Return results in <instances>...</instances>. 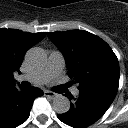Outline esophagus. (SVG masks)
<instances>
[{
	"mask_svg": "<svg viewBox=\"0 0 128 128\" xmlns=\"http://www.w3.org/2000/svg\"><path fill=\"white\" fill-rule=\"evenodd\" d=\"M44 95L46 97H50L52 99H54L57 96V94L55 92H52V91H49V90H45Z\"/></svg>",
	"mask_w": 128,
	"mask_h": 128,
	"instance_id": "1",
	"label": "esophagus"
}]
</instances>
